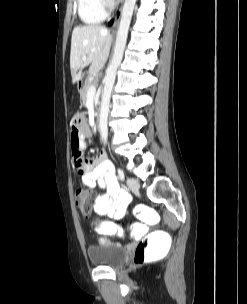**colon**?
<instances>
[{"label": "colon", "instance_id": "obj_1", "mask_svg": "<svg viewBox=\"0 0 247 304\" xmlns=\"http://www.w3.org/2000/svg\"><path fill=\"white\" fill-rule=\"evenodd\" d=\"M75 202L80 211L83 214L88 215L93 202V193L90 190L79 188L75 194ZM134 214L135 217H139V220L142 221V224H135V227L131 232L132 238H142L135 249V263L141 264L147 259H166L168 248H171L173 244V237H170L168 229H152L151 233H147L148 230L146 227V225H161V215L159 214V211L151 210L149 202H136ZM91 228L94 231L101 233L102 238L119 237L118 231H111L109 225L103 224L99 220H93ZM129 244L134 246L136 241L131 239Z\"/></svg>", "mask_w": 247, "mask_h": 304}]
</instances>
